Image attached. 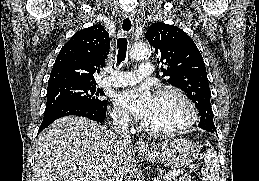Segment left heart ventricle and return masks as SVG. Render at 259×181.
<instances>
[{"mask_svg":"<svg viewBox=\"0 0 259 181\" xmlns=\"http://www.w3.org/2000/svg\"><path fill=\"white\" fill-rule=\"evenodd\" d=\"M186 118L183 103L174 95L155 97L153 111L145 123L157 129H170L179 126Z\"/></svg>","mask_w":259,"mask_h":181,"instance_id":"obj_1","label":"left heart ventricle"}]
</instances>
